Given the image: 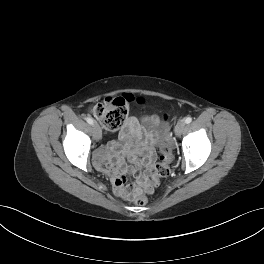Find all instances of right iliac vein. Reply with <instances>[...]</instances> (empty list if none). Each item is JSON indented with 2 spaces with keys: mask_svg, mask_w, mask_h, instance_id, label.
<instances>
[{
  "mask_svg": "<svg viewBox=\"0 0 264 264\" xmlns=\"http://www.w3.org/2000/svg\"><path fill=\"white\" fill-rule=\"evenodd\" d=\"M93 134L96 141H99L102 137V132L98 124L93 125Z\"/></svg>",
  "mask_w": 264,
  "mask_h": 264,
  "instance_id": "right-iliac-vein-1",
  "label": "right iliac vein"
}]
</instances>
